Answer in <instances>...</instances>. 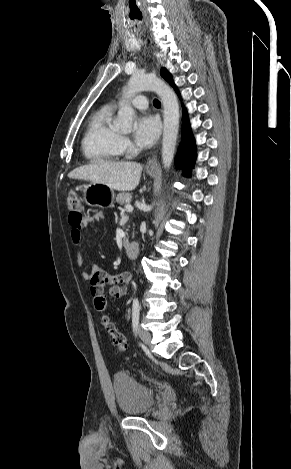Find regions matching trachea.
I'll use <instances>...</instances> for the list:
<instances>
[{
	"instance_id": "trachea-1",
	"label": "trachea",
	"mask_w": 291,
	"mask_h": 469,
	"mask_svg": "<svg viewBox=\"0 0 291 469\" xmlns=\"http://www.w3.org/2000/svg\"><path fill=\"white\" fill-rule=\"evenodd\" d=\"M153 104H154L155 107H160L161 106V103L158 99H154Z\"/></svg>"
}]
</instances>
